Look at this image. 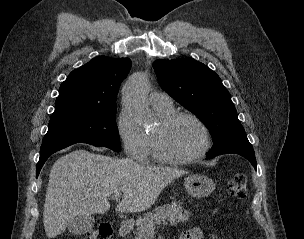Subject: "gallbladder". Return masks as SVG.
<instances>
[{"instance_id":"1","label":"gallbladder","mask_w":304,"mask_h":239,"mask_svg":"<svg viewBox=\"0 0 304 239\" xmlns=\"http://www.w3.org/2000/svg\"><path fill=\"white\" fill-rule=\"evenodd\" d=\"M95 220L91 216H77L68 225L69 233L83 235L94 226Z\"/></svg>"}]
</instances>
